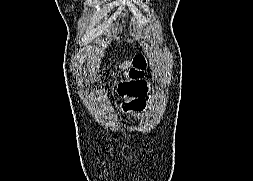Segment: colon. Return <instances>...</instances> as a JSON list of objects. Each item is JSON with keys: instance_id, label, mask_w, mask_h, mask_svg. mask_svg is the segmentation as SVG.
Masks as SVG:
<instances>
[{"instance_id": "1", "label": "colon", "mask_w": 253, "mask_h": 181, "mask_svg": "<svg viewBox=\"0 0 253 181\" xmlns=\"http://www.w3.org/2000/svg\"><path fill=\"white\" fill-rule=\"evenodd\" d=\"M145 61L142 56L135 57L134 65L125 73V78L118 87L119 95L125 99L124 109L127 112H139L145 105L146 83L143 68Z\"/></svg>"}]
</instances>
